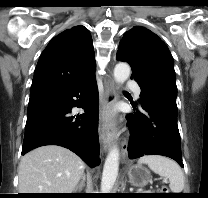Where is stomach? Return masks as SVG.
Instances as JSON below:
<instances>
[{"instance_id":"stomach-1","label":"stomach","mask_w":208,"mask_h":198,"mask_svg":"<svg viewBox=\"0 0 208 198\" xmlns=\"http://www.w3.org/2000/svg\"><path fill=\"white\" fill-rule=\"evenodd\" d=\"M128 178L131 185L144 187L149 183L151 174L148 169L138 164L129 168Z\"/></svg>"}]
</instances>
